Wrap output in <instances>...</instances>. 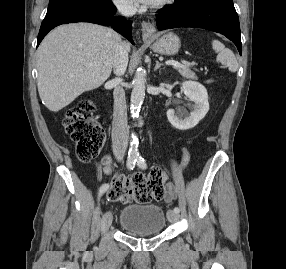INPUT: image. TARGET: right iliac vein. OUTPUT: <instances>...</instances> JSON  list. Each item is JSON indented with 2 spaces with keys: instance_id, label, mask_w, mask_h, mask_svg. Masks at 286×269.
Here are the masks:
<instances>
[{
  "instance_id": "63e3f726",
  "label": "right iliac vein",
  "mask_w": 286,
  "mask_h": 269,
  "mask_svg": "<svg viewBox=\"0 0 286 269\" xmlns=\"http://www.w3.org/2000/svg\"><path fill=\"white\" fill-rule=\"evenodd\" d=\"M112 221H113L112 213L110 211L105 212L101 223L102 230L103 231L107 230L111 226Z\"/></svg>"
}]
</instances>
